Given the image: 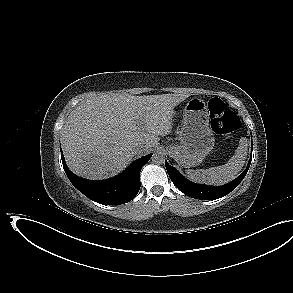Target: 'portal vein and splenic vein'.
I'll return each mask as SVG.
<instances>
[{"label":"portal vein and splenic vein","mask_w":293,"mask_h":293,"mask_svg":"<svg viewBox=\"0 0 293 293\" xmlns=\"http://www.w3.org/2000/svg\"><path fill=\"white\" fill-rule=\"evenodd\" d=\"M138 129H139V130H143V129H144V126H143V123H142V122L140 123Z\"/></svg>","instance_id":"1"}]
</instances>
